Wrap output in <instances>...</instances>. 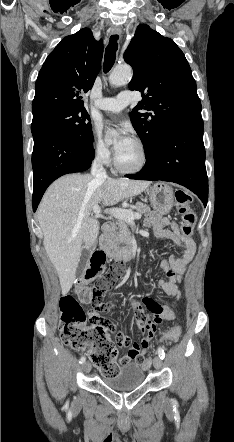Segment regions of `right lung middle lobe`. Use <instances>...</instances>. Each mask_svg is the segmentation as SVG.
I'll list each match as a JSON object with an SVG mask.
<instances>
[{"instance_id": "1", "label": "right lung middle lobe", "mask_w": 234, "mask_h": 442, "mask_svg": "<svg viewBox=\"0 0 234 442\" xmlns=\"http://www.w3.org/2000/svg\"><path fill=\"white\" fill-rule=\"evenodd\" d=\"M90 118L85 108L54 109L33 116L32 134L51 130L64 133L88 145L93 141Z\"/></svg>"}]
</instances>
